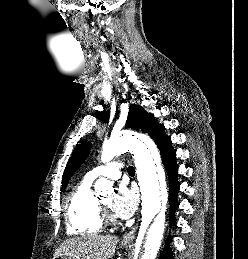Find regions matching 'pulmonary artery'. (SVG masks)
Masks as SVG:
<instances>
[{
    "instance_id": "1",
    "label": "pulmonary artery",
    "mask_w": 248,
    "mask_h": 259,
    "mask_svg": "<svg viewBox=\"0 0 248 259\" xmlns=\"http://www.w3.org/2000/svg\"><path fill=\"white\" fill-rule=\"evenodd\" d=\"M123 164L119 162H112L107 165H101L93 168L86 174V178L94 180L100 176H105L111 179H118L121 176Z\"/></svg>"
}]
</instances>
